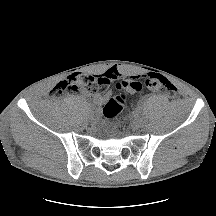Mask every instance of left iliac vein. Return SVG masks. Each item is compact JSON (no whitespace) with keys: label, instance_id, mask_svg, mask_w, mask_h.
<instances>
[{"label":"left iliac vein","instance_id":"1","mask_svg":"<svg viewBox=\"0 0 216 216\" xmlns=\"http://www.w3.org/2000/svg\"><path fill=\"white\" fill-rule=\"evenodd\" d=\"M142 124H143V119L140 116H136L132 123L134 128H140Z\"/></svg>","mask_w":216,"mask_h":216}]
</instances>
